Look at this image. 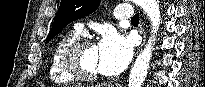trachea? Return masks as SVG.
Listing matches in <instances>:
<instances>
[{"label":"trachea","instance_id":"obj_1","mask_svg":"<svg viewBox=\"0 0 205 87\" xmlns=\"http://www.w3.org/2000/svg\"><path fill=\"white\" fill-rule=\"evenodd\" d=\"M131 22H139V14H135V15L131 18Z\"/></svg>","mask_w":205,"mask_h":87}]
</instances>
